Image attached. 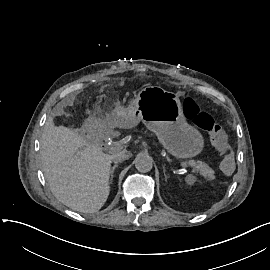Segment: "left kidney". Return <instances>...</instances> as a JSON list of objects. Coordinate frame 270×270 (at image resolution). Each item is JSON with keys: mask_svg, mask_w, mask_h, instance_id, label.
<instances>
[{"mask_svg": "<svg viewBox=\"0 0 270 270\" xmlns=\"http://www.w3.org/2000/svg\"><path fill=\"white\" fill-rule=\"evenodd\" d=\"M197 178L192 175V174H188L186 177H185V182L188 184V185H193L195 182H196Z\"/></svg>", "mask_w": 270, "mask_h": 270, "instance_id": "5707ae66", "label": "left kidney"}]
</instances>
